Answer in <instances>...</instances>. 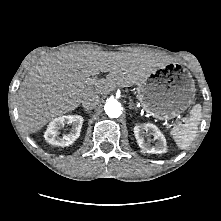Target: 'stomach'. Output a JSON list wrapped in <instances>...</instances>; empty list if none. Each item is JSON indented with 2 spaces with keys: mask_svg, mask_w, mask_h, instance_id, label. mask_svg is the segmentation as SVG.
I'll return each instance as SVG.
<instances>
[{
  "mask_svg": "<svg viewBox=\"0 0 221 221\" xmlns=\"http://www.w3.org/2000/svg\"><path fill=\"white\" fill-rule=\"evenodd\" d=\"M137 98L152 117L172 119L183 113L195 97V84L185 70L158 68L137 83Z\"/></svg>",
  "mask_w": 221,
  "mask_h": 221,
  "instance_id": "0dacf381",
  "label": "stomach"
}]
</instances>
